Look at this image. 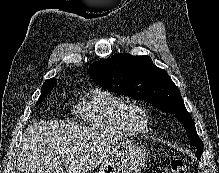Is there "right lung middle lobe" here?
I'll return each instance as SVG.
<instances>
[{
	"label": "right lung middle lobe",
	"instance_id": "1",
	"mask_svg": "<svg viewBox=\"0 0 219 173\" xmlns=\"http://www.w3.org/2000/svg\"><path fill=\"white\" fill-rule=\"evenodd\" d=\"M57 83H54L52 81H46L42 86V92L40 95V98L36 105H39L47 96V94L50 92V90L56 86Z\"/></svg>",
	"mask_w": 219,
	"mask_h": 173
}]
</instances>
